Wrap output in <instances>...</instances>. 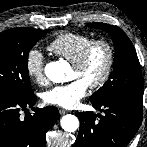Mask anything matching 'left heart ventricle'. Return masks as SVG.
Instances as JSON below:
<instances>
[{"label": "left heart ventricle", "mask_w": 147, "mask_h": 147, "mask_svg": "<svg viewBox=\"0 0 147 147\" xmlns=\"http://www.w3.org/2000/svg\"><path fill=\"white\" fill-rule=\"evenodd\" d=\"M107 63V52L103 46H98L91 54L87 64L81 70L71 68L69 79H81L88 85L95 82L102 75Z\"/></svg>", "instance_id": "b2bd125f"}]
</instances>
